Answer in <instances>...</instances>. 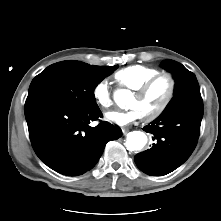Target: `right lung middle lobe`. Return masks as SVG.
Listing matches in <instances>:
<instances>
[{
	"label": "right lung middle lobe",
	"mask_w": 221,
	"mask_h": 221,
	"mask_svg": "<svg viewBox=\"0 0 221 221\" xmlns=\"http://www.w3.org/2000/svg\"><path fill=\"white\" fill-rule=\"evenodd\" d=\"M117 67L74 60L52 64L33 79L26 103L54 102L81 110L97 108L94 90Z\"/></svg>",
	"instance_id": "1"
}]
</instances>
